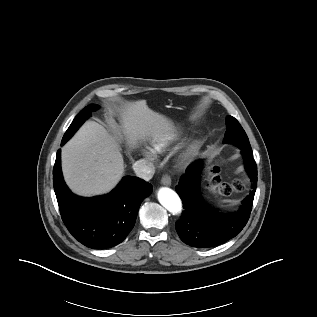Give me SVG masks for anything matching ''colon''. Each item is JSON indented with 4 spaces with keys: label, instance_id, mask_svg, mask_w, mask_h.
I'll return each mask as SVG.
<instances>
[{
    "label": "colon",
    "instance_id": "5ec220e1",
    "mask_svg": "<svg viewBox=\"0 0 317 317\" xmlns=\"http://www.w3.org/2000/svg\"><path fill=\"white\" fill-rule=\"evenodd\" d=\"M218 168L216 166L211 167L207 171L206 186L216 194L222 196H228L233 192H239L243 189L244 183L242 180H236L231 184L224 183L218 176Z\"/></svg>",
    "mask_w": 317,
    "mask_h": 317
}]
</instances>
